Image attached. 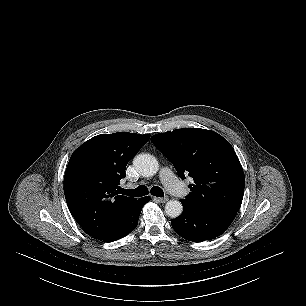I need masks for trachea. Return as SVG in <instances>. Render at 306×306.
<instances>
[{
  "label": "trachea",
  "instance_id": "obj_1",
  "mask_svg": "<svg viewBox=\"0 0 306 306\" xmlns=\"http://www.w3.org/2000/svg\"><path fill=\"white\" fill-rule=\"evenodd\" d=\"M150 192H151L152 195H154L156 197H163L164 196L163 190L158 186L152 187ZM120 193L123 194V195L131 196V197H141V196L147 195L149 193V191H148L146 186L141 185L134 190L121 188Z\"/></svg>",
  "mask_w": 306,
  "mask_h": 306
}]
</instances>
